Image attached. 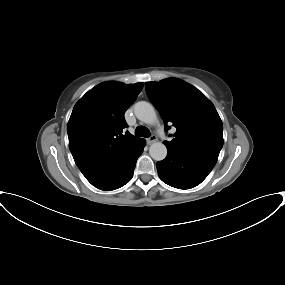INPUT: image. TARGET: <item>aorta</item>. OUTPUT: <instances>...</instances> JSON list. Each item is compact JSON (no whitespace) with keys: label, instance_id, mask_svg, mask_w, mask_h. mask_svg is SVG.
<instances>
[{"label":"aorta","instance_id":"obj_1","mask_svg":"<svg viewBox=\"0 0 285 285\" xmlns=\"http://www.w3.org/2000/svg\"><path fill=\"white\" fill-rule=\"evenodd\" d=\"M134 113L138 120L148 125H154L158 122L156 111L152 104L146 101H139L134 106ZM150 156L161 161L167 156V148L162 142H155L149 148Z\"/></svg>","mask_w":285,"mask_h":285}]
</instances>
